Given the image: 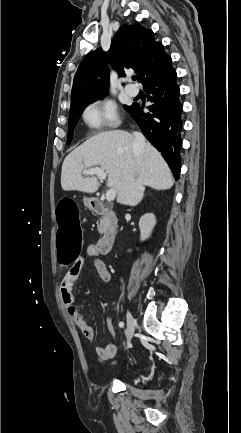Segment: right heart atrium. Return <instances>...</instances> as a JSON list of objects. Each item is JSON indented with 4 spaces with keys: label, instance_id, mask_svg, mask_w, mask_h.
Returning <instances> with one entry per match:
<instances>
[{
    "label": "right heart atrium",
    "instance_id": "right-heart-atrium-1",
    "mask_svg": "<svg viewBox=\"0 0 241 433\" xmlns=\"http://www.w3.org/2000/svg\"><path fill=\"white\" fill-rule=\"evenodd\" d=\"M85 123L93 128L114 126L118 122L115 105L111 101L94 102L83 112Z\"/></svg>",
    "mask_w": 241,
    "mask_h": 433
}]
</instances>
